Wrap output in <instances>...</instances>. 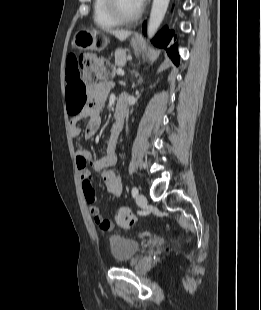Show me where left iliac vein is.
<instances>
[{
  "label": "left iliac vein",
  "mask_w": 261,
  "mask_h": 310,
  "mask_svg": "<svg viewBox=\"0 0 261 310\" xmlns=\"http://www.w3.org/2000/svg\"><path fill=\"white\" fill-rule=\"evenodd\" d=\"M136 202L139 206L144 207L147 204V199L144 194H138L136 196Z\"/></svg>",
  "instance_id": "1"
}]
</instances>
